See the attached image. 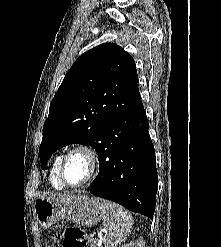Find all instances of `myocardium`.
Returning <instances> with one entry per match:
<instances>
[{"label":"myocardium","instance_id":"f54148a6","mask_svg":"<svg viewBox=\"0 0 221 247\" xmlns=\"http://www.w3.org/2000/svg\"><path fill=\"white\" fill-rule=\"evenodd\" d=\"M75 153H82L88 158L89 173L86 176V178L80 183L71 184L66 179L65 166L70 156H72ZM99 169H100V156L97 149L94 146L87 143H78L72 146L70 149H68L67 152L63 155L60 164L59 176L64 185L68 186L69 188L75 189L82 187L88 184L91 180H93L95 176L98 174Z\"/></svg>","mask_w":221,"mask_h":247}]
</instances>
